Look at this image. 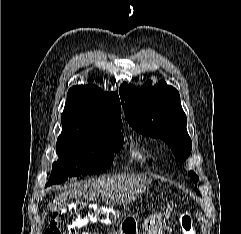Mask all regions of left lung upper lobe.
Returning a JSON list of instances; mask_svg holds the SVG:
<instances>
[{
  "mask_svg": "<svg viewBox=\"0 0 241 234\" xmlns=\"http://www.w3.org/2000/svg\"><path fill=\"white\" fill-rule=\"evenodd\" d=\"M125 118L129 125L144 136L161 138L171 147L175 159L184 161L191 153L192 141L186 129V115L182 109L179 92L164 81L152 86L147 81L134 88L124 82L119 90ZM196 183L199 178L191 171ZM199 195V191L196 190Z\"/></svg>",
  "mask_w": 241,
  "mask_h": 234,
  "instance_id": "5c2ea615",
  "label": "left lung upper lobe"
}]
</instances>
